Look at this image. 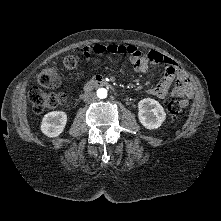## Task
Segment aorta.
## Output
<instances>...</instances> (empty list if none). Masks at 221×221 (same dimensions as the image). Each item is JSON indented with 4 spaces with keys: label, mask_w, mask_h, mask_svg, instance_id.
<instances>
[{
    "label": "aorta",
    "mask_w": 221,
    "mask_h": 221,
    "mask_svg": "<svg viewBox=\"0 0 221 221\" xmlns=\"http://www.w3.org/2000/svg\"><path fill=\"white\" fill-rule=\"evenodd\" d=\"M97 96L100 99H104L107 97V90L105 88H99L97 90Z\"/></svg>",
    "instance_id": "aorta-1"
}]
</instances>
